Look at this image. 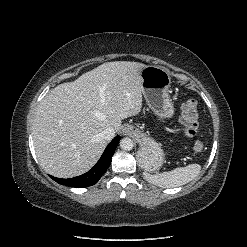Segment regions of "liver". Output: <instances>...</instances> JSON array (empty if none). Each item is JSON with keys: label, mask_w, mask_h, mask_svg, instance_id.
Returning a JSON list of instances; mask_svg holds the SVG:
<instances>
[{"label": "liver", "mask_w": 247, "mask_h": 247, "mask_svg": "<svg viewBox=\"0 0 247 247\" xmlns=\"http://www.w3.org/2000/svg\"><path fill=\"white\" fill-rule=\"evenodd\" d=\"M139 62H106L73 82L52 89L39 103L32 125L42 168L59 178L87 172L103 153L102 131L142 108Z\"/></svg>", "instance_id": "obj_1"}]
</instances>
